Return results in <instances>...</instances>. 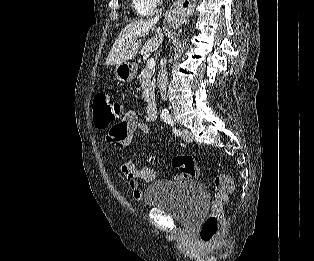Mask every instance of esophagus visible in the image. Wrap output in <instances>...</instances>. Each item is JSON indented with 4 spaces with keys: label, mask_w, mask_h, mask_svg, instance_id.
I'll return each mask as SVG.
<instances>
[{
    "label": "esophagus",
    "mask_w": 314,
    "mask_h": 261,
    "mask_svg": "<svg viewBox=\"0 0 314 261\" xmlns=\"http://www.w3.org/2000/svg\"><path fill=\"white\" fill-rule=\"evenodd\" d=\"M174 12H175V10L172 11V13H174ZM169 14H171V12H169Z\"/></svg>",
    "instance_id": "esophagus-1"
}]
</instances>
